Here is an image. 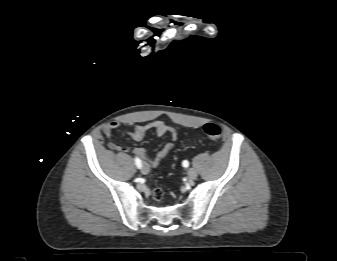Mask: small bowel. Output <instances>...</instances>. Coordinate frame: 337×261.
Returning a JSON list of instances; mask_svg holds the SVG:
<instances>
[{
    "instance_id": "c3829d8e",
    "label": "small bowel",
    "mask_w": 337,
    "mask_h": 261,
    "mask_svg": "<svg viewBox=\"0 0 337 261\" xmlns=\"http://www.w3.org/2000/svg\"><path fill=\"white\" fill-rule=\"evenodd\" d=\"M120 123L117 121H111L104 125L103 132L108 137H112V133L115 129L119 128ZM150 130H154L158 135L169 134L170 142L163 146V148L152 158L148 155L147 151L143 148H135L133 150L137 157H140L145 161V164L150 168L151 166H158L174 149L175 142L178 139L177 130L160 120H155L144 125H137L134 127L127 126V135L135 141H142L146 133ZM109 147L115 151L123 152L128 148L125 145H121L115 141L109 143Z\"/></svg>"
}]
</instances>
